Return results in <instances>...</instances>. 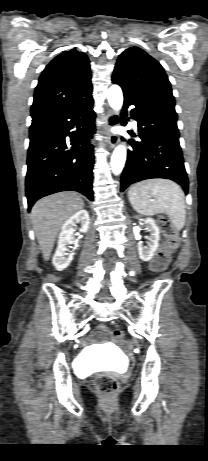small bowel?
<instances>
[{
    "label": "small bowel",
    "instance_id": "obj_1",
    "mask_svg": "<svg viewBox=\"0 0 208 461\" xmlns=\"http://www.w3.org/2000/svg\"><path fill=\"white\" fill-rule=\"evenodd\" d=\"M107 332H108V328L104 325H101L99 326L97 332L94 334V338L97 340L103 341L107 337Z\"/></svg>",
    "mask_w": 208,
    "mask_h": 461
}]
</instances>
